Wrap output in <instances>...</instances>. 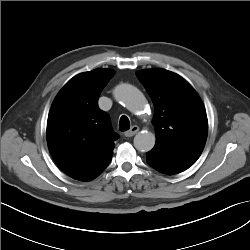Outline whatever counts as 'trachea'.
Instances as JSON below:
<instances>
[{"label": "trachea", "mask_w": 250, "mask_h": 250, "mask_svg": "<svg viewBox=\"0 0 250 250\" xmlns=\"http://www.w3.org/2000/svg\"><path fill=\"white\" fill-rule=\"evenodd\" d=\"M130 128V121L127 116H121L119 122V130L126 131Z\"/></svg>", "instance_id": "1"}]
</instances>
